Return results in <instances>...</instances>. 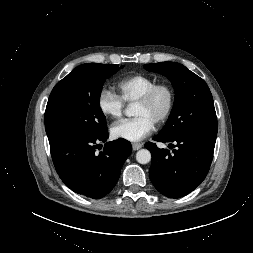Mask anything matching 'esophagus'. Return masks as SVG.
<instances>
[{"label": "esophagus", "mask_w": 253, "mask_h": 253, "mask_svg": "<svg viewBox=\"0 0 253 253\" xmlns=\"http://www.w3.org/2000/svg\"><path fill=\"white\" fill-rule=\"evenodd\" d=\"M142 144L141 143H133L132 144V148H133V150H139L140 148H142Z\"/></svg>", "instance_id": "obj_1"}]
</instances>
